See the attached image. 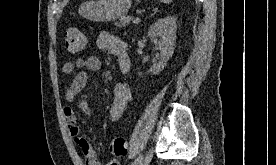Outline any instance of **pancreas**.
Listing matches in <instances>:
<instances>
[{
	"instance_id": "cf45deb5",
	"label": "pancreas",
	"mask_w": 276,
	"mask_h": 165,
	"mask_svg": "<svg viewBox=\"0 0 276 165\" xmlns=\"http://www.w3.org/2000/svg\"><path fill=\"white\" fill-rule=\"evenodd\" d=\"M132 20L131 17H126L120 20V22L116 23V25L118 27H124L125 25H127L130 21Z\"/></svg>"
}]
</instances>
